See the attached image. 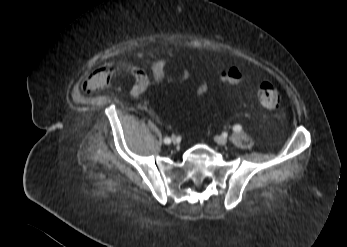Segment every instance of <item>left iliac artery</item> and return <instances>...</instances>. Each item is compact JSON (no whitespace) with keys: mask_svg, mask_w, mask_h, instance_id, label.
I'll list each match as a JSON object with an SVG mask.
<instances>
[{"mask_svg":"<svg viewBox=\"0 0 347 247\" xmlns=\"http://www.w3.org/2000/svg\"><path fill=\"white\" fill-rule=\"evenodd\" d=\"M233 130H234L235 132H241V131H242V126L239 125V124H237V125H235V126L233 127Z\"/></svg>","mask_w":347,"mask_h":247,"instance_id":"1","label":"left iliac artery"}]
</instances>
